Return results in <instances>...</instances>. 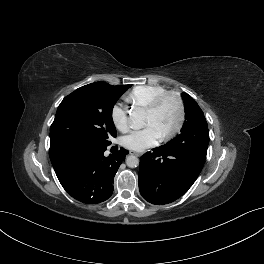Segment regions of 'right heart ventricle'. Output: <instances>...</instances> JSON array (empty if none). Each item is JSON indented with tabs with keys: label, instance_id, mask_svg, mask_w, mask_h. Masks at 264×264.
<instances>
[{
	"label": "right heart ventricle",
	"instance_id": "e07e8e85",
	"mask_svg": "<svg viewBox=\"0 0 264 264\" xmlns=\"http://www.w3.org/2000/svg\"><path fill=\"white\" fill-rule=\"evenodd\" d=\"M167 89L159 85H140L134 87L125 97L132 106L146 108L157 96Z\"/></svg>",
	"mask_w": 264,
	"mask_h": 264
}]
</instances>
